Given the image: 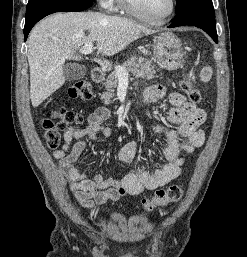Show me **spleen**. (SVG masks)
Here are the masks:
<instances>
[{
  "instance_id": "1",
  "label": "spleen",
  "mask_w": 247,
  "mask_h": 257,
  "mask_svg": "<svg viewBox=\"0 0 247 257\" xmlns=\"http://www.w3.org/2000/svg\"><path fill=\"white\" fill-rule=\"evenodd\" d=\"M202 81L207 82L212 77V69L210 67H204L200 73Z\"/></svg>"
}]
</instances>
